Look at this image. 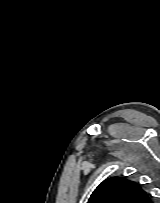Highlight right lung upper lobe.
Returning a JSON list of instances; mask_svg holds the SVG:
<instances>
[{
	"label": "right lung upper lobe",
	"mask_w": 160,
	"mask_h": 203,
	"mask_svg": "<svg viewBox=\"0 0 160 203\" xmlns=\"http://www.w3.org/2000/svg\"><path fill=\"white\" fill-rule=\"evenodd\" d=\"M88 203H151L135 182L120 177L104 180L92 193Z\"/></svg>",
	"instance_id": "1"
}]
</instances>
